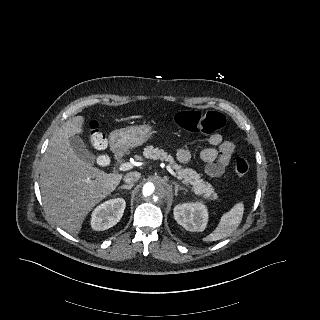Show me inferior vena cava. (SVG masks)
Listing matches in <instances>:
<instances>
[{"instance_id": "1", "label": "inferior vena cava", "mask_w": 320, "mask_h": 320, "mask_svg": "<svg viewBox=\"0 0 320 320\" xmlns=\"http://www.w3.org/2000/svg\"><path fill=\"white\" fill-rule=\"evenodd\" d=\"M140 177H141V174L139 172L134 171V172L127 173L124 176L123 180L127 184H133V183L137 182L140 179Z\"/></svg>"}]
</instances>
